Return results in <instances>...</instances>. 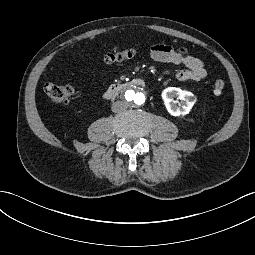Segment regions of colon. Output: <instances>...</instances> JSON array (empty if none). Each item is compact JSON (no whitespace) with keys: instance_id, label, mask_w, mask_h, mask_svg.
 <instances>
[{"instance_id":"obj_1","label":"colon","mask_w":255,"mask_h":255,"mask_svg":"<svg viewBox=\"0 0 255 255\" xmlns=\"http://www.w3.org/2000/svg\"><path fill=\"white\" fill-rule=\"evenodd\" d=\"M134 54L135 50L133 48H127L121 51L107 53L103 56V60L107 63H117L133 57ZM224 87L225 83L222 79H217L213 83V91L216 94H220L224 90ZM44 91L51 100L59 103L70 102L75 92L71 85H57L52 83L46 84Z\"/></svg>"}]
</instances>
